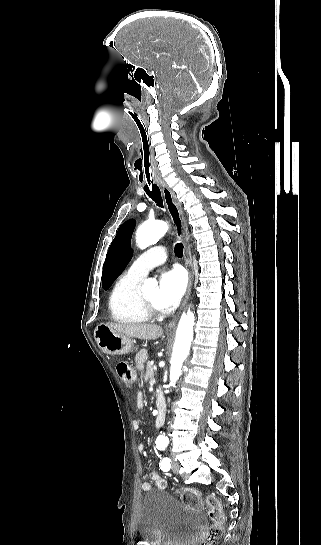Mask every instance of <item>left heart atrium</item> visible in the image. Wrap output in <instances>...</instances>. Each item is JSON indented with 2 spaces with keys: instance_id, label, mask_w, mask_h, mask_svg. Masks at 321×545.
Here are the masks:
<instances>
[{
  "instance_id": "obj_1",
  "label": "left heart atrium",
  "mask_w": 321,
  "mask_h": 545,
  "mask_svg": "<svg viewBox=\"0 0 321 545\" xmlns=\"http://www.w3.org/2000/svg\"><path fill=\"white\" fill-rule=\"evenodd\" d=\"M186 289V277L180 268H173L160 274L156 307L163 312L172 311Z\"/></svg>"
}]
</instances>
